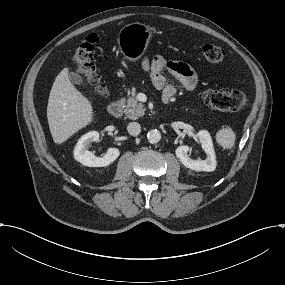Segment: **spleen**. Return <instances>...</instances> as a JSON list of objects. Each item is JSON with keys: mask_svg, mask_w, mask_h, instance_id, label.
<instances>
[{"mask_svg": "<svg viewBox=\"0 0 285 285\" xmlns=\"http://www.w3.org/2000/svg\"><path fill=\"white\" fill-rule=\"evenodd\" d=\"M236 135L230 127L223 128L216 133V141L225 149H231L235 145Z\"/></svg>", "mask_w": 285, "mask_h": 285, "instance_id": "3e777b00", "label": "spleen"}]
</instances>
